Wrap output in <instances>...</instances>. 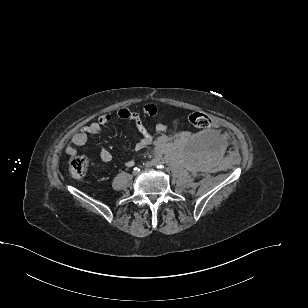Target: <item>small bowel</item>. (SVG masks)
<instances>
[{"mask_svg": "<svg viewBox=\"0 0 308 308\" xmlns=\"http://www.w3.org/2000/svg\"><path fill=\"white\" fill-rule=\"evenodd\" d=\"M158 113V108L154 104H147L142 112H137L127 107L120 108L116 112V116L119 119L131 121L138 132L141 135L140 140L136 143L135 149L142 150L147 148L151 144L162 148L169 142V137L165 134H162L158 137L157 140H154L152 134L149 132L148 128L145 125V119L155 117ZM113 117L110 114L101 115L96 121L89 123L88 125L81 128L77 131L72 137V143L67 146L66 152L70 156L77 154L76 147L83 146L88 139V136L91 134L99 133L102 128L112 121ZM155 130L159 133H164L167 129L166 125L163 123H156L154 126ZM100 159L104 163H108L112 160L113 156L111 152L106 149L100 151ZM126 166L131 167L134 165L133 160H127Z\"/></svg>", "mask_w": 308, "mask_h": 308, "instance_id": "small-bowel-1", "label": "small bowel"}]
</instances>
